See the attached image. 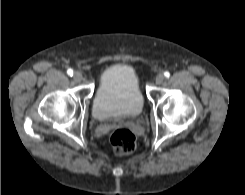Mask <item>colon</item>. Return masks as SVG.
<instances>
[{
  "mask_svg": "<svg viewBox=\"0 0 245 195\" xmlns=\"http://www.w3.org/2000/svg\"><path fill=\"white\" fill-rule=\"evenodd\" d=\"M113 152L118 156H124L134 151L136 146V137L128 129H117L109 136Z\"/></svg>",
  "mask_w": 245,
  "mask_h": 195,
  "instance_id": "1",
  "label": "colon"
}]
</instances>
